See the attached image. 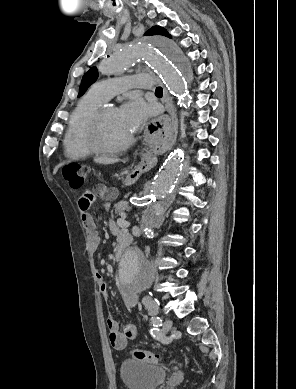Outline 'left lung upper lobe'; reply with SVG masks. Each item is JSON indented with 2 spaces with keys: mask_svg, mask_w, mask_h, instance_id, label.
<instances>
[{
  "mask_svg": "<svg viewBox=\"0 0 296 389\" xmlns=\"http://www.w3.org/2000/svg\"><path fill=\"white\" fill-rule=\"evenodd\" d=\"M146 34L147 35H163V36L171 38V36L168 34V32L160 26H154ZM97 77H98V72H97V69L95 67L91 68L88 72H86L82 78L78 96L83 95L86 92L87 88L92 83H94L96 81Z\"/></svg>",
  "mask_w": 296,
  "mask_h": 389,
  "instance_id": "5c2ea615",
  "label": "left lung upper lobe"
}]
</instances>
